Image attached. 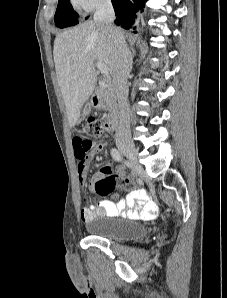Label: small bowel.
Returning <instances> with one entry per match:
<instances>
[{
    "instance_id": "small-bowel-1",
    "label": "small bowel",
    "mask_w": 227,
    "mask_h": 298,
    "mask_svg": "<svg viewBox=\"0 0 227 298\" xmlns=\"http://www.w3.org/2000/svg\"><path fill=\"white\" fill-rule=\"evenodd\" d=\"M76 139H71L73 146L74 158L78 159V176L82 185H85L87 179V172L91 154H97L101 152L106 144H98L93 146L92 142H82L84 138L83 134H76ZM100 174L96 175V178ZM158 213V207L156 203L150 198L147 191L139 189L134 190L124 198H120L117 202L111 200H102L98 204H89L82 208L80 216L83 222H88L95 217L107 216V217H127L131 219H153Z\"/></svg>"
}]
</instances>
